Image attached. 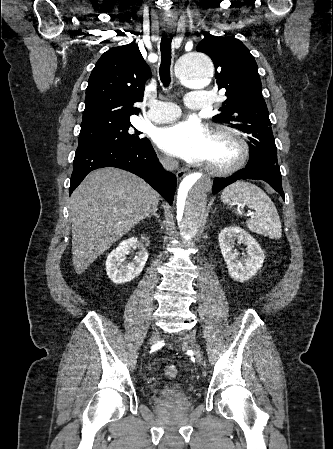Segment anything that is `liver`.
Segmentation results:
<instances>
[{
	"label": "liver",
	"mask_w": 333,
	"mask_h": 449,
	"mask_svg": "<svg viewBox=\"0 0 333 449\" xmlns=\"http://www.w3.org/2000/svg\"><path fill=\"white\" fill-rule=\"evenodd\" d=\"M160 195L136 175L114 167L89 173L72 193V260L83 273L94 260L151 215Z\"/></svg>",
	"instance_id": "obj_1"
}]
</instances>
